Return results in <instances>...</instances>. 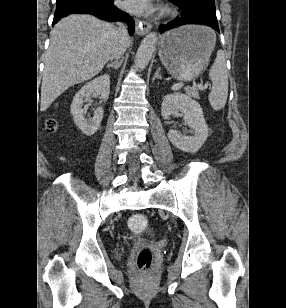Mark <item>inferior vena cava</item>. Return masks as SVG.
Returning a JSON list of instances; mask_svg holds the SVG:
<instances>
[{
	"mask_svg": "<svg viewBox=\"0 0 286 308\" xmlns=\"http://www.w3.org/2000/svg\"><path fill=\"white\" fill-rule=\"evenodd\" d=\"M118 40L114 47L112 58L118 60L124 54L127 48V41L129 40L128 29L127 26L123 23H118V27L116 28Z\"/></svg>",
	"mask_w": 286,
	"mask_h": 308,
	"instance_id": "1",
	"label": "inferior vena cava"
}]
</instances>
